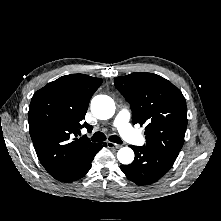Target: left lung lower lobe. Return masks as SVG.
I'll return each instance as SVG.
<instances>
[{"label":"left lung lower lobe","instance_id":"0a47b994","mask_svg":"<svg viewBox=\"0 0 221 221\" xmlns=\"http://www.w3.org/2000/svg\"><path fill=\"white\" fill-rule=\"evenodd\" d=\"M134 161L121 165L122 172L137 185H148L159 180L173 165L176 157L146 146H130Z\"/></svg>","mask_w":221,"mask_h":221}]
</instances>
